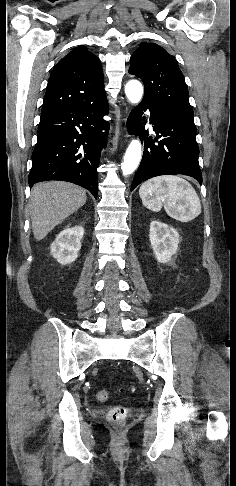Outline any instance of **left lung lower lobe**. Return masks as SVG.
Instances as JSON below:
<instances>
[{
    "instance_id": "left-lung-lower-lobe-1",
    "label": "left lung lower lobe",
    "mask_w": 236,
    "mask_h": 486,
    "mask_svg": "<svg viewBox=\"0 0 236 486\" xmlns=\"http://www.w3.org/2000/svg\"><path fill=\"white\" fill-rule=\"evenodd\" d=\"M146 110L151 113L150 123L157 135L154 139L148 138V131L141 123ZM127 125L129 131L144 137V153L131 191L140 183L160 175L184 174L202 183L196 126L193 122L175 118L156 103L143 100L131 112Z\"/></svg>"
}]
</instances>
